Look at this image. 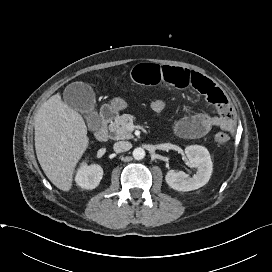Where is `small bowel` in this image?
Segmentation results:
<instances>
[{
  "mask_svg": "<svg viewBox=\"0 0 272 272\" xmlns=\"http://www.w3.org/2000/svg\"><path fill=\"white\" fill-rule=\"evenodd\" d=\"M134 82L153 86L169 84L177 88H192L203 94L218 115L198 113L184 116L173 122V131L183 138H200L214 128H221L229 133L234 131L233 114L223 91L211 80L194 71L158 64H140L131 73Z\"/></svg>",
  "mask_w": 272,
  "mask_h": 272,
  "instance_id": "1",
  "label": "small bowel"
}]
</instances>
